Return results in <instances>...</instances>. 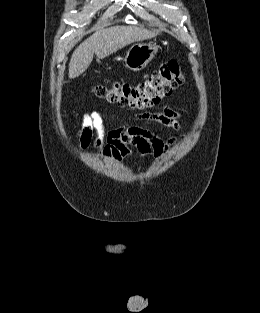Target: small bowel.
<instances>
[{
	"label": "small bowel",
	"instance_id": "obj_1",
	"mask_svg": "<svg viewBox=\"0 0 260 313\" xmlns=\"http://www.w3.org/2000/svg\"><path fill=\"white\" fill-rule=\"evenodd\" d=\"M142 121L159 123L167 128L180 131V114L164 106L160 111L145 112L137 117ZM95 137L99 148L98 154L106 162L120 164L130 155V148L135 147L145 159H161L167 156L177 142V137L163 141L155 132L138 125H128L122 128L106 131L103 117L97 112L84 115L77 132V140L81 149L90 146Z\"/></svg>",
	"mask_w": 260,
	"mask_h": 313
}]
</instances>
